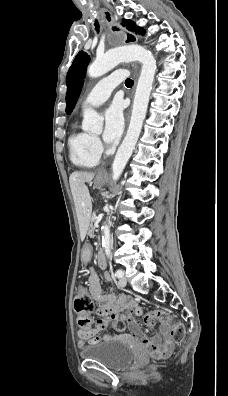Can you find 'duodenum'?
<instances>
[{"label": "duodenum", "mask_w": 228, "mask_h": 396, "mask_svg": "<svg viewBox=\"0 0 228 396\" xmlns=\"http://www.w3.org/2000/svg\"><path fill=\"white\" fill-rule=\"evenodd\" d=\"M98 263H99V266H100L101 268H104V267L106 266L105 259L102 258V257H99Z\"/></svg>", "instance_id": "410a0bca"}]
</instances>
